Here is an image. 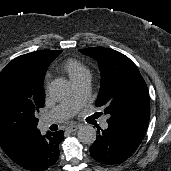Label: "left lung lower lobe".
Instances as JSON below:
<instances>
[{"instance_id": "0a47b994", "label": "left lung lower lobe", "mask_w": 171, "mask_h": 171, "mask_svg": "<svg viewBox=\"0 0 171 171\" xmlns=\"http://www.w3.org/2000/svg\"><path fill=\"white\" fill-rule=\"evenodd\" d=\"M98 133L96 141L90 147V153L93 159L107 165L124 162L144 137L113 124H108L106 130H98Z\"/></svg>"}]
</instances>
